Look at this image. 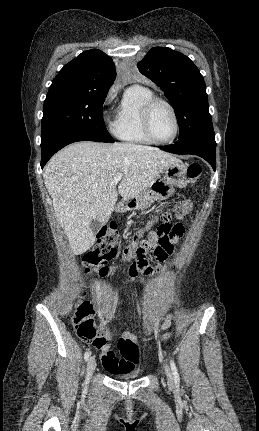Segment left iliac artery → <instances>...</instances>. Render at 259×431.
I'll return each instance as SVG.
<instances>
[{"label": "left iliac artery", "mask_w": 259, "mask_h": 431, "mask_svg": "<svg viewBox=\"0 0 259 431\" xmlns=\"http://www.w3.org/2000/svg\"><path fill=\"white\" fill-rule=\"evenodd\" d=\"M170 366H171V370H172V374H173L175 383H179V381H180L179 374H178V370H177L176 364H175L173 359L170 360Z\"/></svg>", "instance_id": "left-iliac-artery-1"}]
</instances>
